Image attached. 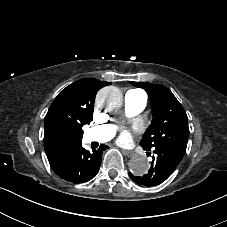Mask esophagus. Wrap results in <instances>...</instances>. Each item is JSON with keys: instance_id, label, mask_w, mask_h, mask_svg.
<instances>
[{"instance_id": "34e87169", "label": "esophagus", "mask_w": 227, "mask_h": 227, "mask_svg": "<svg viewBox=\"0 0 227 227\" xmlns=\"http://www.w3.org/2000/svg\"><path fill=\"white\" fill-rule=\"evenodd\" d=\"M122 152L124 153V155H126L129 158L135 156V154H136L134 151L125 150V149H122Z\"/></svg>"}]
</instances>
